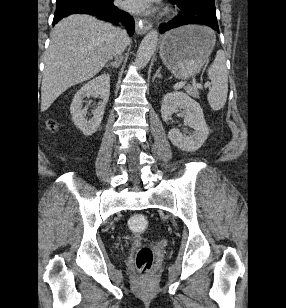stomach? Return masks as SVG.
I'll return each mask as SVG.
<instances>
[{"label":"stomach","mask_w":286,"mask_h":308,"mask_svg":"<svg viewBox=\"0 0 286 308\" xmlns=\"http://www.w3.org/2000/svg\"><path fill=\"white\" fill-rule=\"evenodd\" d=\"M215 41V33L208 27L182 26L164 35L160 57L176 77L187 78L200 71L208 60Z\"/></svg>","instance_id":"stomach-1"}]
</instances>
